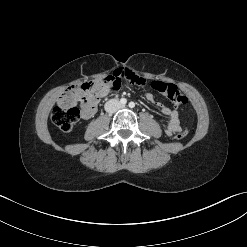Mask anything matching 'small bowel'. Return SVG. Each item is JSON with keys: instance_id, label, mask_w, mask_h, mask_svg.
Listing matches in <instances>:
<instances>
[{"instance_id": "1", "label": "small bowel", "mask_w": 247, "mask_h": 247, "mask_svg": "<svg viewBox=\"0 0 247 247\" xmlns=\"http://www.w3.org/2000/svg\"><path fill=\"white\" fill-rule=\"evenodd\" d=\"M115 77H118L120 80L126 79V80H132L133 78L137 77L132 71L128 69H117L114 71L112 74ZM143 85V84H141ZM118 89H114L110 86L103 87L99 90L98 96L99 97H104L108 95L110 92H114ZM146 99L150 102H154V96L151 93H146ZM158 106L160 107L161 113L168 118L167 121V127L165 130V133L168 136H172L174 133L178 132L181 129V124H180V118H179V113L177 110L168 108L160 103H158ZM97 110V104H94L93 106H87L83 101H82V110L81 114L84 119H89L91 118Z\"/></svg>"}]
</instances>
